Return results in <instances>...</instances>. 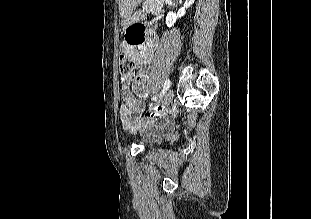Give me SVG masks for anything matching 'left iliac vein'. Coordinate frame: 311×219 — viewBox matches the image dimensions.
I'll return each instance as SVG.
<instances>
[{
	"label": "left iliac vein",
	"instance_id": "left-iliac-vein-1",
	"mask_svg": "<svg viewBox=\"0 0 311 219\" xmlns=\"http://www.w3.org/2000/svg\"><path fill=\"white\" fill-rule=\"evenodd\" d=\"M173 96H174L173 90L172 89L168 90V92L164 97V106H168L172 102Z\"/></svg>",
	"mask_w": 311,
	"mask_h": 219
}]
</instances>
